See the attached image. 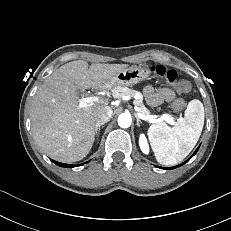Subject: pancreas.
Returning a JSON list of instances; mask_svg holds the SVG:
<instances>
[{
    "instance_id": "obj_1",
    "label": "pancreas",
    "mask_w": 231,
    "mask_h": 231,
    "mask_svg": "<svg viewBox=\"0 0 231 231\" xmlns=\"http://www.w3.org/2000/svg\"><path fill=\"white\" fill-rule=\"evenodd\" d=\"M110 90H111V94L114 98H123L125 96L134 97V96L140 94L138 91L129 89L127 87H121V86L111 87ZM134 104L139 107V109H140L139 113L140 114L149 115L150 112L144 106L143 100L141 98L134 100Z\"/></svg>"
}]
</instances>
